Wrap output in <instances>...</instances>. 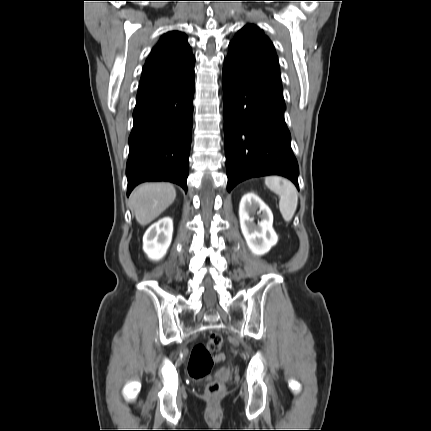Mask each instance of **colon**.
<instances>
[{
	"instance_id": "colon-1",
	"label": "colon",
	"mask_w": 431,
	"mask_h": 431,
	"mask_svg": "<svg viewBox=\"0 0 431 431\" xmlns=\"http://www.w3.org/2000/svg\"><path fill=\"white\" fill-rule=\"evenodd\" d=\"M223 345V338L217 332H211L208 335L206 342L198 343L192 349L188 363V373L194 380H202L206 378L216 361L224 363L226 355L221 354L220 350ZM223 391V384L214 380L206 387V394L209 397H216Z\"/></svg>"
}]
</instances>
